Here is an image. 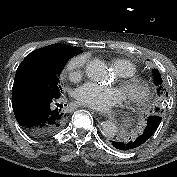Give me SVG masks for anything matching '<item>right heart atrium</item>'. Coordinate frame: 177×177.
I'll return each instance as SVG.
<instances>
[{"instance_id": "right-heart-atrium-1", "label": "right heart atrium", "mask_w": 177, "mask_h": 177, "mask_svg": "<svg viewBox=\"0 0 177 177\" xmlns=\"http://www.w3.org/2000/svg\"><path fill=\"white\" fill-rule=\"evenodd\" d=\"M86 61L87 58L85 55H78L67 63L66 70L72 81H79L83 77Z\"/></svg>"}]
</instances>
